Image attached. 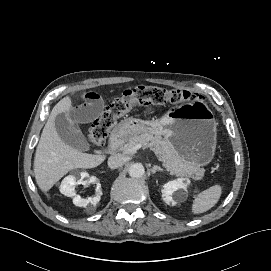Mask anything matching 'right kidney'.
Returning a JSON list of instances; mask_svg holds the SVG:
<instances>
[{
	"label": "right kidney",
	"mask_w": 271,
	"mask_h": 271,
	"mask_svg": "<svg viewBox=\"0 0 271 271\" xmlns=\"http://www.w3.org/2000/svg\"><path fill=\"white\" fill-rule=\"evenodd\" d=\"M79 176H80L79 180L74 175H69L65 177L62 180V183L60 186V192L64 194L65 196L73 197V203L75 206L86 207L88 204H92L95 206L100 201V198L102 195V190L100 189V186L97 187L96 195L94 197L82 198L80 195L76 194L75 185L78 183H81L84 185L87 184L88 180H84V179L89 178V175L88 173L81 172Z\"/></svg>",
	"instance_id": "right-kidney-1"
}]
</instances>
